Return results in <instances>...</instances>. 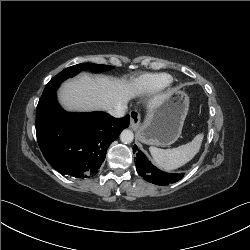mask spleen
Here are the masks:
<instances>
[{
    "label": "spleen",
    "mask_w": 250,
    "mask_h": 250,
    "mask_svg": "<svg viewBox=\"0 0 250 250\" xmlns=\"http://www.w3.org/2000/svg\"><path fill=\"white\" fill-rule=\"evenodd\" d=\"M203 138L204 134L200 133L185 145L172 149L151 147L150 153L160 169L172 171L185 165L199 152Z\"/></svg>",
    "instance_id": "1"
}]
</instances>
